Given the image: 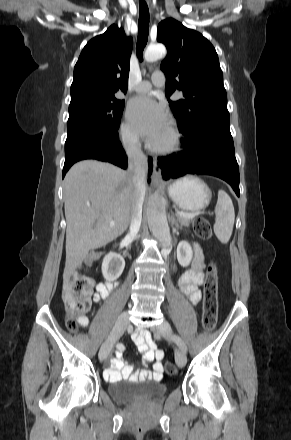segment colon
Returning <instances> with one entry per match:
<instances>
[{
  "instance_id": "1",
  "label": "colon",
  "mask_w": 291,
  "mask_h": 440,
  "mask_svg": "<svg viewBox=\"0 0 291 440\" xmlns=\"http://www.w3.org/2000/svg\"><path fill=\"white\" fill-rule=\"evenodd\" d=\"M193 231L198 238L203 240H208L212 236L209 222L202 217H198L194 221ZM206 274L202 326L209 331L214 328L218 314L216 267L213 263L208 266ZM94 288V280L86 275L73 276L63 287L62 299L65 305L68 329L75 331L80 325L78 319L85 316L90 310ZM164 367L168 374L176 373V366L171 361H166Z\"/></svg>"
}]
</instances>
